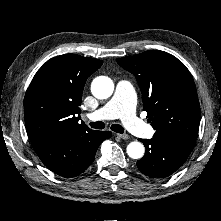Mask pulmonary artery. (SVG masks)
Returning <instances> with one entry per match:
<instances>
[{
    "mask_svg": "<svg viewBox=\"0 0 221 221\" xmlns=\"http://www.w3.org/2000/svg\"><path fill=\"white\" fill-rule=\"evenodd\" d=\"M136 97L133 86L127 80L116 85L113 97L100 109L88 115L92 121L120 118L125 127L139 137H150L153 129L136 116Z\"/></svg>",
    "mask_w": 221,
    "mask_h": 221,
    "instance_id": "1",
    "label": "pulmonary artery"
}]
</instances>
